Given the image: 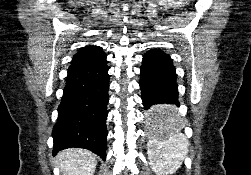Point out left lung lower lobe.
Listing matches in <instances>:
<instances>
[{
    "label": "left lung lower lobe",
    "mask_w": 251,
    "mask_h": 175,
    "mask_svg": "<svg viewBox=\"0 0 251 175\" xmlns=\"http://www.w3.org/2000/svg\"><path fill=\"white\" fill-rule=\"evenodd\" d=\"M140 89L145 119L149 123H163L177 115V74L170 56L160 49L149 50L143 56ZM175 105V106H174Z\"/></svg>",
    "instance_id": "0a47b994"
}]
</instances>
